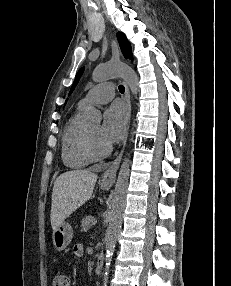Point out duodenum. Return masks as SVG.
<instances>
[{"label": "duodenum", "instance_id": "duodenum-1", "mask_svg": "<svg viewBox=\"0 0 231 286\" xmlns=\"http://www.w3.org/2000/svg\"><path fill=\"white\" fill-rule=\"evenodd\" d=\"M102 270H103V256L99 255L96 261L95 273L99 275L102 273Z\"/></svg>", "mask_w": 231, "mask_h": 286}]
</instances>
